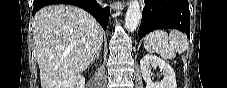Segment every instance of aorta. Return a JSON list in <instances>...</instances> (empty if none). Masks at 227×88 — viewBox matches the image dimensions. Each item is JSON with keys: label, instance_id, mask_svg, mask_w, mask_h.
Segmentation results:
<instances>
[{"label": "aorta", "instance_id": "1", "mask_svg": "<svg viewBox=\"0 0 227 88\" xmlns=\"http://www.w3.org/2000/svg\"><path fill=\"white\" fill-rule=\"evenodd\" d=\"M141 20V10L138 0H132L128 6L125 16V26L130 32L138 27Z\"/></svg>", "mask_w": 227, "mask_h": 88}]
</instances>
